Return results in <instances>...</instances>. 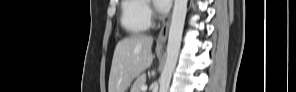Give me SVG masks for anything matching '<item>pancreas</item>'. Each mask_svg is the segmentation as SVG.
<instances>
[{
    "label": "pancreas",
    "instance_id": "cf45deb5",
    "mask_svg": "<svg viewBox=\"0 0 296 92\" xmlns=\"http://www.w3.org/2000/svg\"><path fill=\"white\" fill-rule=\"evenodd\" d=\"M145 83H146V75L142 74L138 76L135 82L133 83L131 92H141V86L145 85Z\"/></svg>",
    "mask_w": 296,
    "mask_h": 92
}]
</instances>
